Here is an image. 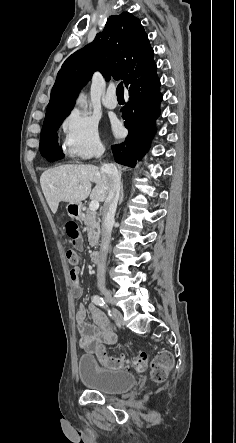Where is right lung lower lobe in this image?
I'll use <instances>...</instances> for the list:
<instances>
[{"mask_svg": "<svg viewBox=\"0 0 236 443\" xmlns=\"http://www.w3.org/2000/svg\"><path fill=\"white\" fill-rule=\"evenodd\" d=\"M156 69L153 63L125 84L130 101L123 108V118L129 134L123 143L111 146L115 161L120 164L134 167L148 150L155 134V120L160 114L159 104L162 100ZM41 155L50 162L64 156L59 146L41 151Z\"/></svg>", "mask_w": 236, "mask_h": 443, "instance_id": "98d812e1", "label": "right lung lower lobe"}]
</instances>
